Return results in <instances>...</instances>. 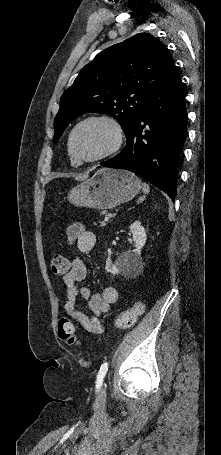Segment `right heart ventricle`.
I'll list each match as a JSON object with an SVG mask.
<instances>
[{"label":"right heart ventricle","instance_id":"obj_1","mask_svg":"<svg viewBox=\"0 0 221 455\" xmlns=\"http://www.w3.org/2000/svg\"><path fill=\"white\" fill-rule=\"evenodd\" d=\"M73 159V158H72ZM73 163H75L76 161L72 160Z\"/></svg>","mask_w":221,"mask_h":455}]
</instances>
